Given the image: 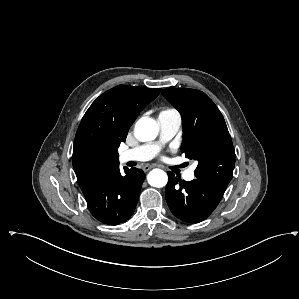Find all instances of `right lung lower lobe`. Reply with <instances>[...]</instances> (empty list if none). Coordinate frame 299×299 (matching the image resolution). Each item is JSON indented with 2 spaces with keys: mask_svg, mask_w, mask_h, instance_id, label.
Segmentation results:
<instances>
[{
  "mask_svg": "<svg viewBox=\"0 0 299 299\" xmlns=\"http://www.w3.org/2000/svg\"><path fill=\"white\" fill-rule=\"evenodd\" d=\"M124 172L112 167L83 192L91 214L102 223H123L135 210L145 175L137 168L125 167Z\"/></svg>",
  "mask_w": 299,
  "mask_h": 299,
  "instance_id": "obj_1",
  "label": "right lung lower lobe"
}]
</instances>
